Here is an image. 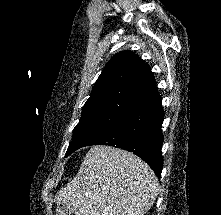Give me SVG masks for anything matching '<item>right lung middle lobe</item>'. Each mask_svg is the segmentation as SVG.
Wrapping results in <instances>:
<instances>
[{"label":"right lung middle lobe","instance_id":"dd1d6c3e","mask_svg":"<svg viewBox=\"0 0 221 215\" xmlns=\"http://www.w3.org/2000/svg\"><path fill=\"white\" fill-rule=\"evenodd\" d=\"M121 117L107 113H82L79 123L73 130V138L66 152V157L75 150L84 147L99 136Z\"/></svg>","mask_w":221,"mask_h":215}]
</instances>
